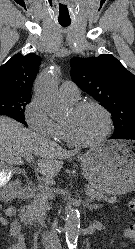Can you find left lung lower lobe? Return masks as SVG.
I'll return each instance as SVG.
<instances>
[{"mask_svg":"<svg viewBox=\"0 0 135 249\" xmlns=\"http://www.w3.org/2000/svg\"><path fill=\"white\" fill-rule=\"evenodd\" d=\"M110 139H131L135 140V127L124 134H113Z\"/></svg>","mask_w":135,"mask_h":249,"instance_id":"left-lung-lower-lobe-1","label":"left lung lower lobe"}]
</instances>
